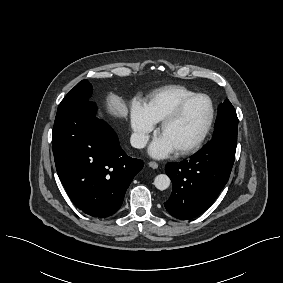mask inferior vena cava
Here are the masks:
<instances>
[{
  "label": "inferior vena cava",
  "mask_w": 283,
  "mask_h": 283,
  "mask_svg": "<svg viewBox=\"0 0 283 283\" xmlns=\"http://www.w3.org/2000/svg\"><path fill=\"white\" fill-rule=\"evenodd\" d=\"M148 142V136L141 133H133L130 138V143L134 148H144Z\"/></svg>",
  "instance_id": "obj_1"
}]
</instances>
